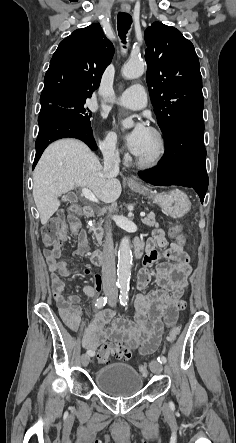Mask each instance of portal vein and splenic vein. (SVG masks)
<instances>
[{
    "mask_svg": "<svg viewBox=\"0 0 236 443\" xmlns=\"http://www.w3.org/2000/svg\"><path fill=\"white\" fill-rule=\"evenodd\" d=\"M82 194H83L84 197H85L86 199H88L89 201H91V202H95V203H99L98 199L95 197V195H94L89 189H87V188H83V189H82ZM140 216H141V217H144V216H145V213H144V212H141V213H140Z\"/></svg>",
    "mask_w": 236,
    "mask_h": 443,
    "instance_id": "18ae733b",
    "label": "portal vein and splenic vein"
}]
</instances>
